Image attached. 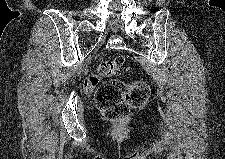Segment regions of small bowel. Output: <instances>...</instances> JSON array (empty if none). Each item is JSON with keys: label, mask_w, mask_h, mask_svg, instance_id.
Wrapping results in <instances>:
<instances>
[{"label": "small bowel", "mask_w": 225, "mask_h": 159, "mask_svg": "<svg viewBox=\"0 0 225 159\" xmlns=\"http://www.w3.org/2000/svg\"><path fill=\"white\" fill-rule=\"evenodd\" d=\"M98 81H95L94 77H90L88 79H85L83 82L84 89L87 92H92L97 85Z\"/></svg>", "instance_id": "small-bowel-1"}]
</instances>
